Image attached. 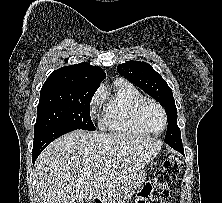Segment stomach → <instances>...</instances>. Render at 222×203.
Masks as SVG:
<instances>
[{"instance_id":"obj_1","label":"stomach","mask_w":222,"mask_h":203,"mask_svg":"<svg viewBox=\"0 0 222 203\" xmlns=\"http://www.w3.org/2000/svg\"><path fill=\"white\" fill-rule=\"evenodd\" d=\"M146 180V174L142 170L134 178L128 180L123 184L119 190L117 197H107L105 203H117V200H126L131 198L135 191L142 186Z\"/></svg>"}]
</instances>
